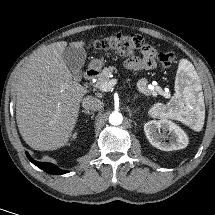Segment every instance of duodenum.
I'll return each mask as SVG.
<instances>
[{
  "label": "duodenum",
  "instance_id": "1",
  "mask_svg": "<svg viewBox=\"0 0 215 215\" xmlns=\"http://www.w3.org/2000/svg\"><path fill=\"white\" fill-rule=\"evenodd\" d=\"M98 75V71L94 68H89L86 72H85V79L86 81H92L93 79H95Z\"/></svg>",
  "mask_w": 215,
  "mask_h": 215
}]
</instances>
